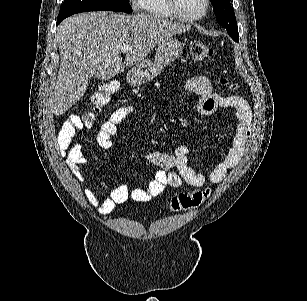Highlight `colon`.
<instances>
[{"mask_svg": "<svg viewBox=\"0 0 307 301\" xmlns=\"http://www.w3.org/2000/svg\"><path fill=\"white\" fill-rule=\"evenodd\" d=\"M190 51L196 61L208 60L214 53L212 46L199 40L191 43ZM221 83L227 84V80L221 79ZM118 90L119 84L117 82H106L92 95L89 102L91 110L80 116L82 127L92 128L95 125L96 114L110 102ZM209 194V189L179 193L171 199L170 208L176 212L197 208L208 198Z\"/></svg>", "mask_w": 307, "mask_h": 301, "instance_id": "colon-1", "label": "colon"}]
</instances>
